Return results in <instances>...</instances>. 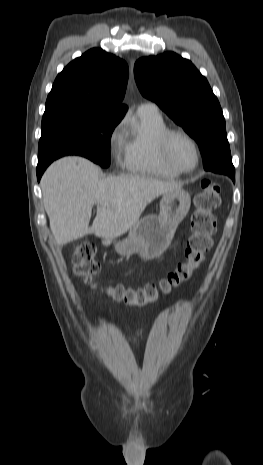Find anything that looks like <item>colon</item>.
Here are the masks:
<instances>
[{"mask_svg": "<svg viewBox=\"0 0 263 465\" xmlns=\"http://www.w3.org/2000/svg\"><path fill=\"white\" fill-rule=\"evenodd\" d=\"M219 204V184L210 179H204L201 182L200 192L194 198L195 211L191 217V235L185 250V260L159 283H148L137 289L116 285L108 288V294L114 300L129 306L143 307L155 302L160 294H169L188 281L200 267L205 254L212 246V236L217 228V218L214 212ZM95 254L96 250L92 244L80 243L72 255L74 272L88 283H92L100 270Z\"/></svg>", "mask_w": 263, "mask_h": 465, "instance_id": "colon-1", "label": "colon"}]
</instances>
